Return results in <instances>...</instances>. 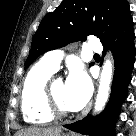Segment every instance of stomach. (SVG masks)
<instances>
[{"label":"stomach","instance_id":"0dacf381","mask_svg":"<svg viewBox=\"0 0 136 136\" xmlns=\"http://www.w3.org/2000/svg\"><path fill=\"white\" fill-rule=\"evenodd\" d=\"M56 136H69V135H64V134H63V135H61V133H59V134H58V135H56Z\"/></svg>","mask_w":136,"mask_h":136}]
</instances>
